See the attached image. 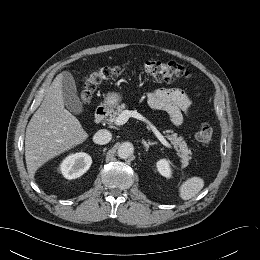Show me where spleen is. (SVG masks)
<instances>
[{"mask_svg":"<svg viewBox=\"0 0 260 260\" xmlns=\"http://www.w3.org/2000/svg\"><path fill=\"white\" fill-rule=\"evenodd\" d=\"M204 187V181L202 178L193 176L188 178L179 187V196L183 200H189L196 196Z\"/></svg>","mask_w":260,"mask_h":260,"instance_id":"spleen-1","label":"spleen"}]
</instances>
